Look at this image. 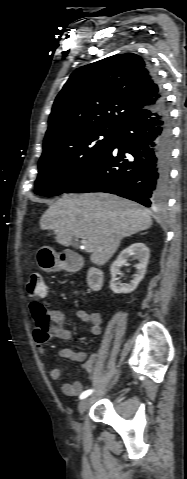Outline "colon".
<instances>
[{"label":"colon","mask_w":187,"mask_h":479,"mask_svg":"<svg viewBox=\"0 0 187 479\" xmlns=\"http://www.w3.org/2000/svg\"><path fill=\"white\" fill-rule=\"evenodd\" d=\"M27 294L33 299H44L48 295V288L44 282L43 276L39 272H34L26 286ZM30 310L35 322V331L38 339H45L50 333V324L52 321L50 311L41 303L34 302Z\"/></svg>","instance_id":"colon-1"}]
</instances>
